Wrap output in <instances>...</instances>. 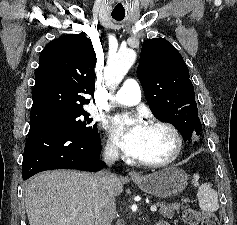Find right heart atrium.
Listing matches in <instances>:
<instances>
[{"label": "right heart atrium", "instance_id": "obj_1", "mask_svg": "<svg viewBox=\"0 0 237 225\" xmlns=\"http://www.w3.org/2000/svg\"><path fill=\"white\" fill-rule=\"evenodd\" d=\"M104 150L105 153L112 158H116L119 155L118 147L110 137L105 141Z\"/></svg>", "mask_w": 237, "mask_h": 225}]
</instances>
